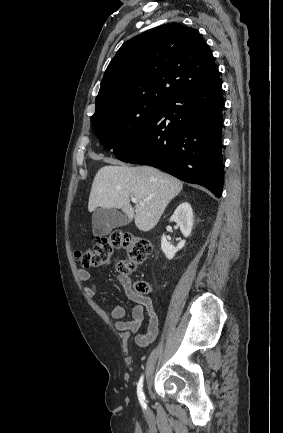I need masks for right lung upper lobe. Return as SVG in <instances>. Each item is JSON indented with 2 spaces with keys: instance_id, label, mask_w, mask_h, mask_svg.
<instances>
[{
  "instance_id": "obj_1",
  "label": "right lung upper lobe",
  "mask_w": 283,
  "mask_h": 433,
  "mask_svg": "<svg viewBox=\"0 0 283 433\" xmlns=\"http://www.w3.org/2000/svg\"><path fill=\"white\" fill-rule=\"evenodd\" d=\"M217 77L212 53L196 30L164 24L121 46L103 76L95 114L135 102L164 104Z\"/></svg>"
}]
</instances>
